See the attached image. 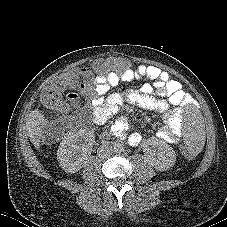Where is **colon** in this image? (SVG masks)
I'll return each mask as SVG.
<instances>
[{"label": "colon", "instance_id": "1", "mask_svg": "<svg viewBox=\"0 0 227 227\" xmlns=\"http://www.w3.org/2000/svg\"><path fill=\"white\" fill-rule=\"evenodd\" d=\"M125 66L126 63L121 58H112L109 61L99 59L93 64V68L99 72H105L108 69L121 71ZM77 80L76 72L59 76L42 88L40 101L45 107L68 115L71 109L63 97V92L70 88ZM70 126L71 124L68 120L59 119L49 127L47 137L49 139H59ZM179 152L187 161L193 162L196 159L195 154L188 150L186 145L181 146Z\"/></svg>", "mask_w": 227, "mask_h": 227}]
</instances>
